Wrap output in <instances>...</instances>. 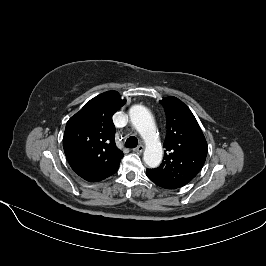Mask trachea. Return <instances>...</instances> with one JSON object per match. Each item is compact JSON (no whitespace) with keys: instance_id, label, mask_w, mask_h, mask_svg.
<instances>
[{"instance_id":"3493384b","label":"trachea","mask_w":266,"mask_h":266,"mask_svg":"<svg viewBox=\"0 0 266 266\" xmlns=\"http://www.w3.org/2000/svg\"><path fill=\"white\" fill-rule=\"evenodd\" d=\"M137 145H138V140L134 136L129 137L125 143V146L128 148H135V147H137Z\"/></svg>"}]
</instances>
